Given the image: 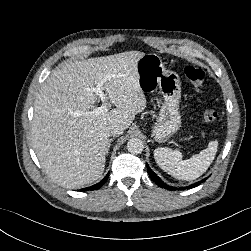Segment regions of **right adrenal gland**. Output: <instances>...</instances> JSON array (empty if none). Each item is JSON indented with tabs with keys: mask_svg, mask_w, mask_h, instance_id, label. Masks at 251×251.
Segmentation results:
<instances>
[{
	"mask_svg": "<svg viewBox=\"0 0 251 251\" xmlns=\"http://www.w3.org/2000/svg\"><path fill=\"white\" fill-rule=\"evenodd\" d=\"M111 141H112V139H110V142H111ZM109 147H110V144H109V146H108V148H107V153H108Z\"/></svg>",
	"mask_w": 251,
	"mask_h": 251,
	"instance_id": "obj_1",
	"label": "right adrenal gland"
}]
</instances>
